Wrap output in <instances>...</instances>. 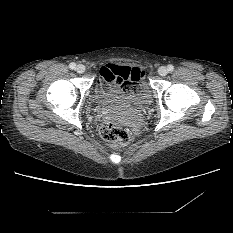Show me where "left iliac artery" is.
Wrapping results in <instances>:
<instances>
[{"mask_svg": "<svg viewBox=\"0 0 233 233\" xmlns=\"http://www.w3.org/2000/svg\"><path fill=\"white\" fill-rule=\"evenodd\" d=\"M167 69H168V71L172 72L174 70V66L173 65H168Z\"/></svg>", "mask_w": 233, "mask_h": 233, "instance_id": "1", "label": "left iliac artery"}]
</instances>
